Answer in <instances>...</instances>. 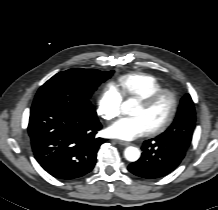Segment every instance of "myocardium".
Instances as JSON below:
<instances>
[{
  "mask_svg": "<svg viewBox=\"0 0 218 210\" xmlns=\"http://www.w3.org/2000/svg\"><path fill=\"white\" fill-rule=\"evenodd\" d=\"M165 97L169 98V100H170L169 113H168L166 119L161 124L151 128L149 130V133L152 135H155V134H158V133L165 131L172 124V122L176 116L177 110H178L177 95L173 91L164 88V89L158 90L156 92H153V93L139 99V103L141 105L149 108V107H152L159 100H161L162 98H165Z\"/></svg>",
  "mask_w": 218,
  "mask_h": 210,
  "instance_id": "1",
  "label": "myocardium"
}]
</instances>
